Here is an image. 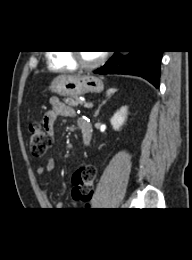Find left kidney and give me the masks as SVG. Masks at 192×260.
<instances>
[{"label":"left kidney","instance_id":"5707ae66","mask_svg":"<svg viewBox=\"0 0 192 260\" xmlns=\"http://www.w3.org/2000/svg\"><path fill=\"white\" fill-rule=\"evenodd\" d=\"M128 114V108L126 106L121 107L111 118L110 123L114 130L119 131L124 125Z\"/></svg>","mask_w":192,"mask_h":260}]
</instances>
